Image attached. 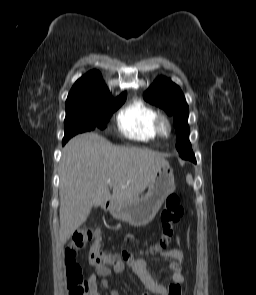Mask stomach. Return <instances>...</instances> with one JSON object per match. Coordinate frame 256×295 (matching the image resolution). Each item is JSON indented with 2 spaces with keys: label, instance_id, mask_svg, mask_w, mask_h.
Instances as JSON below:
<instances>
[{
  "label": "stomach",
  "instance_id": "stomach-1",
  "mask_svg": "<svg viewBox=\"0 0 256 295\" xmlns=\"http://www.w3.org/2000/svg\"><path fill=\"white\" fill-rule=\"evenodd\" d=\"M174 190V174L167 162L157 170L145 196L123 204L113 203L109 211L115 219L128 222L134 227L145 226L153 220L163 202Z\"/></svg>",
  "mask_w": 256,
  "mask_h": 295
}]
</instances>
